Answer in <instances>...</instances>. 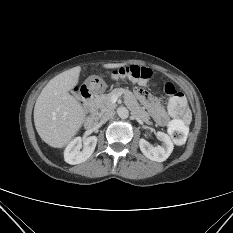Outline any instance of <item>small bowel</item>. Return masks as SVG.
Wrapping results in <instances>:
<instances>
[{
  "mask_svg": "<svg viewBox=\"0 0 233 233\" xmlns=\"http://www.w3.org/2000/svg\"><path fill=\"white\" fill-rule=\"evenodd\" d=\"M136 94L140 101L151 110L154 119L160 124H165L167 121V115L158 101L143 88H137Z\"/></svg>",
  "mask_w": 233,
  "mask_h": 233,
  "instance_id": "c3829d8e",
  "label": "small bowel"
}]
</instances>
